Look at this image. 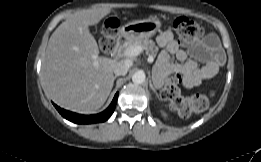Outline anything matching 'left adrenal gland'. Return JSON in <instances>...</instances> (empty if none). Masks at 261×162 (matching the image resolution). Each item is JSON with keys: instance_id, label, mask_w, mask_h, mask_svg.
Here are the masks:
<instances>
[{"instance_id": "obj_1", "label": "left adrenal gland", "mask_w": 261, "mask_h": 162, "mask_svg": "<svg viewBox=\"0 0 261 162\" xmlns=\"http://www.w3.org/2000/svg\"><path fill=\"white\" fill-rule=\"evenodd\" d=\"M150 88L153 90V92L156 94V97L160 100L159 95L157 94L155 88L153 87L152 83L150 82Z\"/></svg>"}]
</instances>
